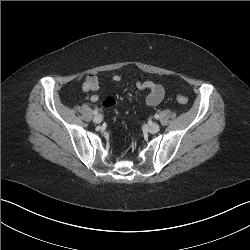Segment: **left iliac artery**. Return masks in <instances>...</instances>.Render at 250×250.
I'll return each mask as SVG.
<instances>
[{"mask_svg": "<svg viewBox=\"0 0 250 250\" xmlns=\"http://www.w3.org/2000/svg\"><path fill=\"white\" fill-rule=\"evenodd\" d=\"M154 117H155L156 119H159V115H158V114H155Z\"/></svg>", "mask_w": 250, "mask_h": 250, "instance_id": "left-iliac-artery-1", "label": "left iliac artery"}]
</instances>
